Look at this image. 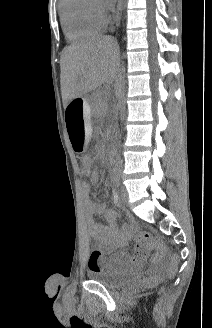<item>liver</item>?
<instances>
[{"instance_id":"1","label":"liver","mask_w":212,"mask_h":328,"mask_svg":"<svg viewBox=\"0 0 212 328\" xmlns=\"http://www.w3.org/2000/svg\"><path fill=\"white\" fill-rule=\"evenodd\" d=\"M60 66L62 99L67 103L102 84L113 82L117 44L110 36H97L73 44L64 50Z\"/></svg>"}]
</instances>
